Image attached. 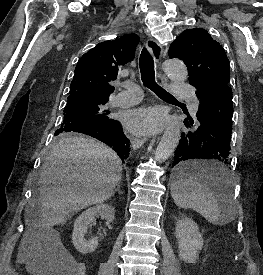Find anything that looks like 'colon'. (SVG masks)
Here are the masks:
<instances>
[{
	"label": "colon",
	"mask_w": 263,
	"mask_h": 275,
	"mask_svg": "<svg viewBox=\"0 0 263 275\" xmlns=\"http://www.w3.org/2000/svg\"><path fill=\"white\" fill-rule=\"evenodd\" d=\"M49 252L51 254V265L54 270L62 271L69 275L80 274L81 268L79 264L70 260L60 247H50Z\"/></svg>",
	"instance_id": "5ec220e1"
}]
</instances>
